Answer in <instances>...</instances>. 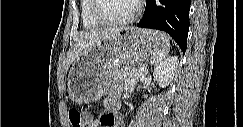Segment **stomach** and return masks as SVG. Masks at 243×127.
Listing matches in <instances>:
<instances>
[{
  "mask_svg": "<svg viewBox=\"0 0 243 127\" xmlns=\"http://www.w3.org/2000/svg\"><path fill=\"white\" fill-rule=\"evenodd\" d=\"M153 31L124 28L104 39L71 65L67 90L77 103L98 100L109 88L114 75L131 69L154 51Z\"/></svg>",
  "mask_w": 243,
  "mask_h": 127,
  "instance_id": "0dacf381",
  "label": "stomach"
}]
</instances>
